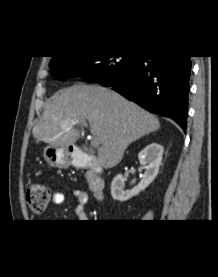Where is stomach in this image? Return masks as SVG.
<instances>
[{
    "mask_svg": "<svg viewBox=\"0 0 218 277\" xmlns=\"http://www.w3.org/2000/svg\"><path fill=\"white\" fill-rule=\"evenodd\" d=\"M43 156L50 166L67 168L70 165V157L66 147L49 145L44 149Z\"/></svg>",
    "mask_w": 218,
    "mask_h": 277,
    "instance_id": "0dacf381",
    "label": "stomach"
}]
</instances>
